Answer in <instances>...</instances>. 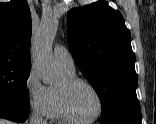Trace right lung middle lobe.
I'll use <instances>...</instances> for the list:
<instances>
[{"label":"right lung middle lobe","instance_id":"1","mask_svg":"<svg viewBox=\"0 0 156 124\" xmlns=\"http://www.w3.org/2000/svg\"><path fill=\"white\" fill-rule=\"evenodd\" d=\"M30 69V65L0 63V97L30 104L26 83Z\"/></svg>","mask_w":156,"mask_h":124}]
</instances>
